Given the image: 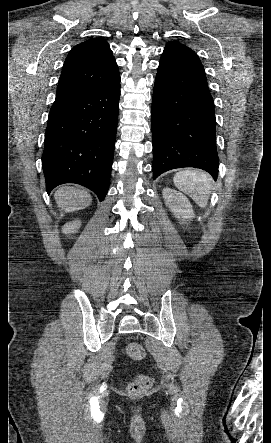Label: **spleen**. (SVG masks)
Wrapping results in <instances>:
<instances>
[{
    "label": "spleen",
    "mask_w": 271,
    "mask_h": 443,
    "mask_svg": "<svg viewBox=\"0 0 271 443\" xmlns=\"http://www.w3.org/2000/svg\"><path fill=\"white\" fill-rule=\"evenodd\" d=\"M173 182L184 194H188L197 206L206 208L209 198V190L211 188V178L202 170H194V168H186L179 170L173 178Z\"/></svg>",
    "instance_id": "3e777b00"
}]
</instances>
